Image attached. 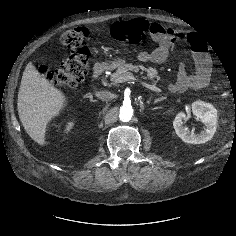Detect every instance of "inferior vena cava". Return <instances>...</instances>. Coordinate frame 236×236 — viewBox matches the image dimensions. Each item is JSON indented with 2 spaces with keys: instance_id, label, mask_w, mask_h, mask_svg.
<instances>
[{
  "instance_id": "602c4592",
  "label": "inferior vena cava",
  "mask_w": 236,
  "mask_h": 236,
  "mask_svg": "<svg viewBox=\"0 0 236 236\" xmlns=\"http://www.w3.org/2000/svg\"><path fill=\"white\" fill-rule=\"evenodd\" d=\"M96 97L103 101H110L114 98V94L109 91H98L96 92Z\"/></svg>"
}]
</instances>
